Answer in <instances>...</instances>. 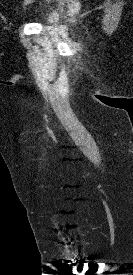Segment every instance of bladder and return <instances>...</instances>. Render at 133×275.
Returning <instances> with one entry per match:
<instances>
[{"label":"bladder","instance_id":"31cf9c89","mask_svg":"<svg viewBox=\"0 0 133 275\" xmlns=\"http://www.w3.org/2000/svg\"><path fill=\"white\" fill-rule=\"evenodd\" d=\"M61 17V14L56 10H51L48 12L46 16V23L47 24H54L56 23Z\"/></svg>","mask_w":133,"mask_h":275}]
</instances>
